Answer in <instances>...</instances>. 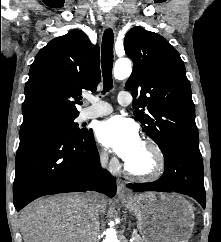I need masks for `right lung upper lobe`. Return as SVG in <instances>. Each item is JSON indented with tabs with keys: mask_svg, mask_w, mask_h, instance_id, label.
<instances>
[{
	"mask_svg": "<svg viewBox=\"0 0 221 242\" xmlns=\"http://www.w3.org/2000/svg\"><path fill=\"white\" fill-rule=\"evenodd\" d=\"M100 51L81 30L51 40L29 71L22 105L21 127L43 120L79 114L83 90L100 82Z\"/></svg>",
	"mask_w": 221,
	"mask_h": 242,
	"instance_id": "right-lung-upper-lobe-1",
	"label": "right lung upper lobe"
}]
</instances>
